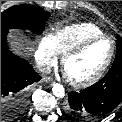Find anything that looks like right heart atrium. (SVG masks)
Returning a JSON list of instances; mask_svg holds the SVG:
<instances>
[{
    "label": "right heart atrium",
    "instance_id": "1",
    "mask_svg": "<svg viewBox=\"0 0 122 122\" xmlns=\"http://www.w3.org/2000/svg\"><path fill=\"white\" fill-rule=\"evenodd\" d=\"M59 53L51 35L43 36L37 46L35 59L42 71L49 70L58 60Z\"/></svg>",
    "mask_w": 122,
    "mask_h": 122
}]
</instances>
